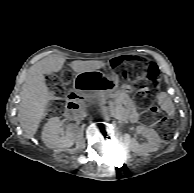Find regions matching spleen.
<instances>
[{"mask_svg": "<svg viewBox=\"0 0 194 193\" xmlns=\"http://www.w3.org/2000/svg\"><path fill=\"white\" fill-rule=\"evenodd\" d=\"M158 103L160 104L161 108L169 115V116H174L175 114V107L168 96L167 93L161 92L158 96Z\"/></svg>", "mask_w": 194, "mask_h": 193, "instance_id": "1", "label": "spleen"}]
</instances>
